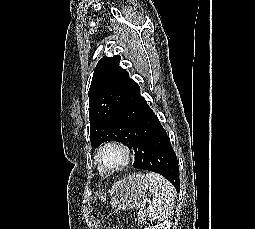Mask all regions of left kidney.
<instances>
[{"label": "left kidney", "mask_w": 255, "mask_h": 229, "mask_svg": "<svg viewBox=\"0 0 255 229\" xmlns=\"http://www.w3.org/2000/svg\"><path fill=\"white\" fill-rule=\"evenodd\" d=\"M170 227H171V223L168 221H165L155 226L146 227L144 229H170Z\"/></svg>", "instance_id": "left-kidney-1"}]
</instances>
